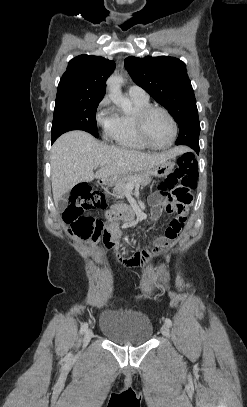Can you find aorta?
Segmentation results:
<instances>
[{"label": "aorta", "mask_w": 247, "mask_h": 407, "mask_svg": "<svg viewBox=\"0 0 247 407\" xmlns=\"http://www.w3.org/2000/svg\"><path fill=\"white\" fill-rule=\"evenodd\" d=\"M122 82H123L122 77H120L118 75H112L111 77H109V79L107 81L109 97L116 104H120L125 101V98L123 97L122 91H121ZM125 241L128 242L127 237H125Z\"/></svg>", "instance_id": "obj_1"}]
</instances>
